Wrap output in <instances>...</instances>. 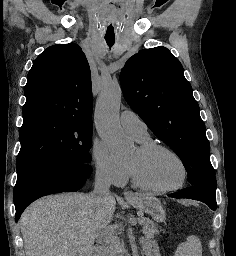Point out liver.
Returning a JSON list of instances; mask_svg holds the SVG:
<instances>
[{
    "label": "liver",
    "mask_w": 236,
    "mask_h": 256,
    "mask_svg": "<svg viewBox=\"0 0 236 256\" xmlns=\"http://www.w3.org/2000/svg\"><path fill=\"white\" fill-rule=\"evenodd\" d=\"M95 204L90 194L45 196L20 218L26 256H92L94 240L116 210Z\"/></svg>",
    "instance_id": "6515ba94"
}]
</instances>
